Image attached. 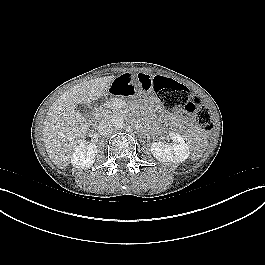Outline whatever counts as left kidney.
<instances>
[{
    "label": "left kidney",
    "mask_w": 265,
    "mask_h": 265,
    "mask_svg": "<svg viewBox=\"0 0 265 265\" xmlns=\"http://www.w3.org/2000/svg\"><path fill=\"white\" fill-rule=\"evenodd\" d=\"M169 137L173 144H166L158 141L151 145V153L160 162L180 163L189 157V147L182 136L175 132H170Z\"/></svg>",
    "instance_id": "obj_1"
}]
</instances>
